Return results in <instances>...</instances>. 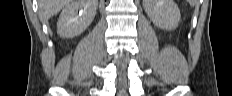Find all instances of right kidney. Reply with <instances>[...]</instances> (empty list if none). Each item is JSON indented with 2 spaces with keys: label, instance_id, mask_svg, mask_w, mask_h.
Here are the masks:
<instances>
[{
  "label": "right kidney",
  "instance_id": "obj_1",
  "mask_svg": "<svg viewBox=\"0 0 232 96\" xmlns=\"http://www.w3.org/2000/svg\"><path fill=\"white\" fill-rule=\"evenodd\" d=\"M97 6L98 0H71L58 19L57 33L60 37L72 38L80 35L92 23Z\"/></svg>",
  "mask_w": 232,
  "mask_h": 96
}]
</instances>
